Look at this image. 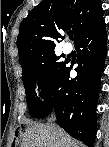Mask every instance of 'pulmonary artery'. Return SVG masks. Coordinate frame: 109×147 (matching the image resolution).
<instances>
[{
  "label": "pulmonary artery",
  "mask_w": 109,
  "mask_h": 147,
  "mask_svg": "<svg viewBox=\"0 0 109 147\" xmlns=\"http://www.w3.org/2000/svg\"><path fill=\"white\" fill-rule=\"evenodd\" d=\"M71 51H72V47L69 44H65L64 47H63V52L65 54H70Z\"/></svg>",
  "instance_id": "e3ab8cb5"
}]
</instances>
